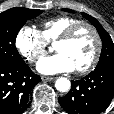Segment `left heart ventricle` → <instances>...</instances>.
Returning <instances> with one entry per match:
<instances>
[{"instance_id":"left-heart-ventricle-1","label":"left heart ventricle","mask_w":114,"mask_h":114,"mask_svg":"<svg viewBox=\"0 0 114 114\" xmlns=\"http://www.w3.org/2000/svg\"><path fill=\"white\" fill-rule=\"evenodd\" d=\"M54 49L65 54L74 64L75 69L86 65L95 50V38L86 28L79 30L69 41L58 42Z\"/></svg>"}]
</instances>
